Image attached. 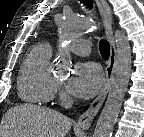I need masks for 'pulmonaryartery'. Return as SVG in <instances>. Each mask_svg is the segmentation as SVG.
<instances>
[{
	"label": "pulmonary artery",
	"mask_w": 144,
	"mask_h": 137,
	"mask_svg": "<svg viewBox=\"0 0 144 137\" xmlns=\"http://www.w3.org/2000/svg\"><path fill=\"white\" fill-rule=\"evenodd\" d=\"M69 50L79 56H87L90 53V42L87 39H75L69 46Z\"/></svg>",
	"instance_id": "e3ab8cb5"
}]
</instances>
